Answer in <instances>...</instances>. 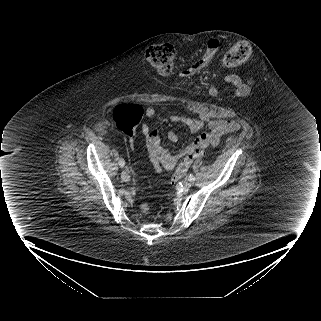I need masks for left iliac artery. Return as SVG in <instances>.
Segmentation results:
<instances>
[{
  "label": "left iliac artery",
  "mask_w": 321,
  "mask_h": 321,
  "mask_svg": "<svg viewBox=\"0 0 321 321\" xmlns=\"http://www.w3.org/2000/svg\"><path fill=\"white\" fill-rule=\"evenodd\" d=\"M189 180H190L191 182H194V181H195L194 175L190 174V175H189Z\"/></svg>",
  "instance_id": "left-iliac-artery-1"
}]
</instances>
